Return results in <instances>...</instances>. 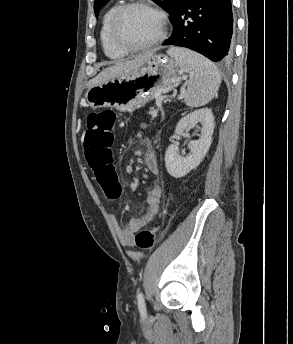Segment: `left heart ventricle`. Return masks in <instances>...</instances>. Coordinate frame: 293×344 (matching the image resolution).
Here are the masks:
<instances>
[{"label": "left heart ventricle", "instance_id": "left-heart-ventricle-1", "mask_svg": "<svg viewBox=\"0 0 293 344\" xmlns=\"http://www.w3.org/2000/svg\"><path fill=\"white\" fill-rule=\"evenodd\" d=\"M160 30L158 17L143 8L128 10L120 22V34L130 44H143L155 38Z\"/></svg>", "mask_w": 293, "mask_h": 344}]
</instances>
